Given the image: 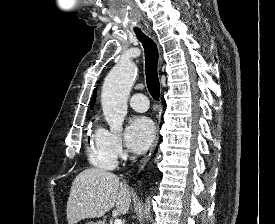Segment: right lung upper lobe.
Instances as JSON below:
<instances>
[{
    "instance_id": "obj_1",
    "label": "right lung upper lobe",
    "mask_w": 275,
    "mask_h": 224,
    "mask_svg": "<svg viewBox=\"0 0 275 224\" xmlns=\"http://www.w3.org/2000/svg\"><path fill=\"white\" fill-rule=\"evenodd\" d=\"M95 98H96V91L94 92L93 97H92V100H91V108H92L93 105H94Z\"/></svg>"
}]
</instances>
